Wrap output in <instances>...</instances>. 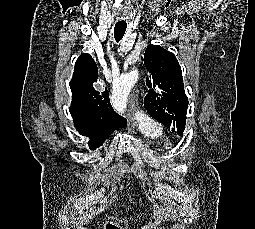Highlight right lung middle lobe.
<instances>
[{
	"label": "right lung middle lobe",
	"mask_w": 255,
	"mask_h": 229,
	"mask_svg": "<svg viewBox=\"0 0 255 229\" xmlns=\"http://www.w3.org/2000/svg\"><path fill=\"white\" fill-rule=\"evenodd\" d=\"M104 143V141H89V147L91 150H95L96 148L102 146V144Z\"/></svg>",
	"instance_id": "obj_1"
}]
</instances>
